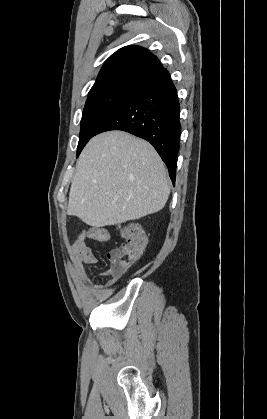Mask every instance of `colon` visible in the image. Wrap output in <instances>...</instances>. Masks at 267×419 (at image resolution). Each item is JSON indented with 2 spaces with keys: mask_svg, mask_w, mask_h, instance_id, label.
<instances>
[{
  "mask_svg": "<svg viewBox=\"0 0 267 419\" xmlns=\"http://www.w3.org/2000/svg\"><path fill=\"white\" fill-rule=\"evenodd\" d=\"M123 244L109 254L110 271L120 275L127 271L143 254L146 239L141 226L128 222L120 226Z\"/></svg>",
  "mask_w": 267,
  "mask_h": 419,
  "instance_id": "5ec220e1",
  "label": "colon"
}]
</instances>
